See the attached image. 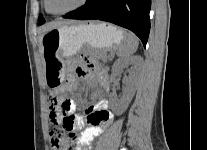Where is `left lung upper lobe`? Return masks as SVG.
I'll return each mask as SVG.
<instances>
[{
  "label": "left lung upper lobe",
  "instance_id": "5c2ea615",
  "mask_svg": "<svg viewBox=\"0 0 207 150\" xmlns=\"http://www.w3.org/2000/svg\"><path fill=\"white\" fill-rule=\"evenodd\" d=\"M44 22H45V19L43 18L42 15H40L39 18H38V23L41 25V24H43Z\"/></svg>",
  "mask_w": 207,
  "mask_h": 150
}]
</instances>
